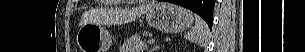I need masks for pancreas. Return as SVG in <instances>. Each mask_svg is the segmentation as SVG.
Masks as SVG:
<instances>
[{
	"instance_id": "cf45deb5",
	"label": "pancreas",
	"mask_w": 305,
	"mask_h": 52,
	"mask_svg": "<svg viewBox=\"0 0 305 52\" xmlns=\"http://www.w3.org/2000/svg\"><path fill=\"white\" fill-rule=\"evenodd\" d=\"M147 48L146 39L142 40L140 35H133L125 41L121 47L123 52H142Z\"/></svg>"
}]
</instances>
